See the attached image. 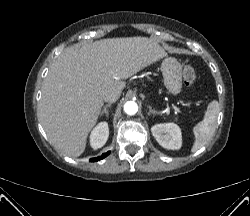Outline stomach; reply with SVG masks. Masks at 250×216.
<instances>
[{"mask_svg":"<svg viewBox=\"0 0 250 216\" xmlns=\"http://www.w3.org/2000/svg\"><path fill=\"white\" fill-rule=\"evenodd\" d=\"M161 71L167 93L170 95L179 94L182 89L181 64L175 58L167 57L162 62Z\"/></svg>","mask_w":250,"mask_h":216,"instance_id":"0dacf381","label":"stomach"}]
</instances>
